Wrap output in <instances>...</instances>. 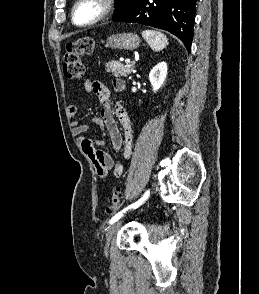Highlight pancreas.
Segmentation results:
<instances>
[{"label": "pancreas", "instance_id": "1", "mask_svg": "<svg viewBox=\"0 0 259 294\" xmlns=\"http://www.w3.org/2000/svg\"><path fill=\"white\" fill-rule=\"evenodd\" d=\"M106 71L115 77H127L134 69V63L123 65L118 61L107 62L105 65Z\"/></svg>", "mask_w": 259, "mask_h": 294}]
</instances>
